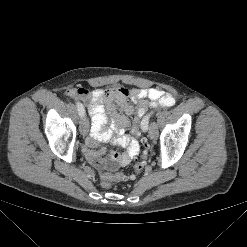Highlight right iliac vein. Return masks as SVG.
Wrapping results in <instances>:
<instances>
[{
  "label": "right iliac vein",
  "mask_w": 247,
  "mask_h": 247,
  "mask_svg": "<svg viewBox=\"0 0 247 247\" xmlns=\"http://www.w3.org/2000/svg\"><path fill=\"white\" fill-rule=\"evenodd\" d=\"M89 131V121L86 116H83L80 122V132L85 136Z\"/></svg>",
  "instance_id": "1"
}]
</instances>
